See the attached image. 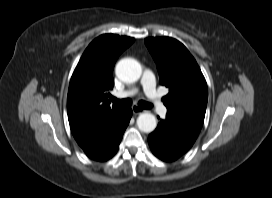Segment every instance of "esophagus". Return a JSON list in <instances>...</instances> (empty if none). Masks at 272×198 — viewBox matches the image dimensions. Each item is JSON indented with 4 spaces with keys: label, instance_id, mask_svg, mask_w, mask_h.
<instances>
[{
    "label": "esophagus",
    "instance_id": "1",
    "mask_svg": "<svg viewBox=\"0 0 272 198\" xmlns=\"http://www.w3.org/2000/svg\"><path fill=\"white\" fill-rule=\"evenodd\" d=\"M132 111H133V114H135V115H139V114L146 112V110H144L136 105L132 106Z\"/></svg>",
    "mask_w": 272,
    "mask_h": 198
}]
</instances>
